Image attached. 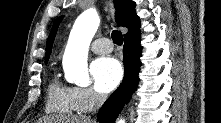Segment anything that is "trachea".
Returning <instances> with one entry per match:
<instances>
[{
  "label": "trachea",
  "mask_w": 221,
  "mask_h": 123,
  "mask_svg": "<svg viewBox=\"0 0 221 123\" xmlns=\"http://www.w3.org/2000/svg\"><path fill=\"white\" fill-rule=\"evenodd\" d=\"M112 40L117 45H122L123 43V36L122 33L118 30H114L111 34Z\"/></svg>",
  "instance_id": "trachea-1"
}]
</instances>
